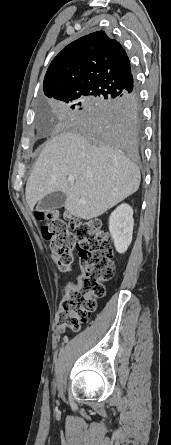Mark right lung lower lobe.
Wrapping results in <instances>:
<instances>
[{
  "label": "right lung lower lobe",
  "instance_id": "obj_1",
  "mask_svg": "<svg viewBox=\"0 0 171 445\" xmlns=\"http://www.w3.org/2000/svg\"><path fill=\"white\" fill-rule=\"evenodd\" d=\"M104 98L93 113L92 124L96 138L123 151L131 158H138L140 112L136 90L122 98Z\"/></svg>",
  "mask_w": 171,
  "mask_h": 445
}]
</instances>
